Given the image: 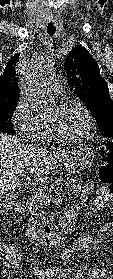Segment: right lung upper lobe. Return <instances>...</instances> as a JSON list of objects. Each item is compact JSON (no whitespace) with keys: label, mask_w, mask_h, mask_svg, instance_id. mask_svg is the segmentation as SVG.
<instances>
[{"label":"right lung upper lobe","mask_w":113,"mask_h":279,"mask_svg":"<svg viewBox=\"0 0 113 279\" xmlns=\"http://www.w3.org/2000/svg\"><path fill=\"white\" fill-rule=\"evenodd\" d=\"M18 59L19 54L11 57L0 76V109L16 106L19 88L15 66Z\"/></svg>","instance_id":"right-lung-upper-lobe-1"}]
</instances>
